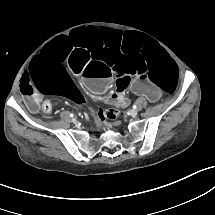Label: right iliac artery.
<instances>
[{
  "mask_svg": "<svg viewBox=\"0 0 215 215\" xmlns=\"http://www.w3.org/2000/svg\"><path fill=\"white\" fill-rule=\"evenodd\" d=\"M74 115L73 114H70V117H73Z\"/></svg>",
  "mask_w": 215,
  "mask_h": 215,
  "instance_id": "right-iliac-artery-1",
  "label": "right iliac artery"
}]
</instances>
